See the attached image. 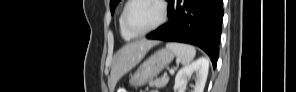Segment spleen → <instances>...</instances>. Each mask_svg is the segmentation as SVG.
I'll return each instance as SVG.
<instances>
[{"label": "spleen", "mask_w": 296, "mask_h": 92, "mask_svg": "<svg viewBox=\"0 0 296 92\" xmlns=\"http://www.w3.org/2000/svg\"><path fill=\"white\" fill-rule=\"evenodd\" d=\"M166 48L171 50L177 56L182 65H188L196 55L195 48L184 43H167Z\"/></svg>", "instance_id": "1"}]
</instances>
